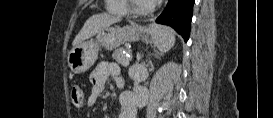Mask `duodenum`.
<instances>
[{
  "label": "duodenum",
  "mask_w": 273,
  "mask_h": 118,
  "mask_svg": "<svg viewBox=\"0 0 273 118\" xmlns=\"http://www.w3.org/2000/svg\"><path fill=\"white\" fill-rule=\"evenodd\" d=\"M122 82V81H121ZM121 82H117L118 84H119V86H121L122 85V83Z\"/></svg>",
  "instance_id": "obj_1"
}]
</instances>
